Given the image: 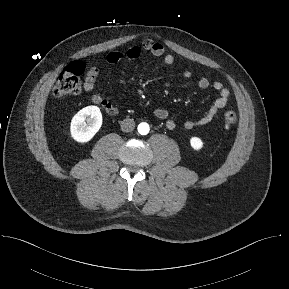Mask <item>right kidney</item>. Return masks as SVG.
Wrapping results in <instances>:
<instances>
[{"instance_id": "obj_1", "label": "right kidney", "mask_w": 289, "mask_h": 289, "mask_svg": "<svg viewBox=\"0 0 289 289\" xmlns=\"http://www.w3.org/2000/svg\"><path fill=\"white\" fill-rule=\"evenodd\" d=\"M102 125V114L97 106H87L74 115L70 132L72 138L79 143L90 141Z\"/></svg>"}]
</instances>
